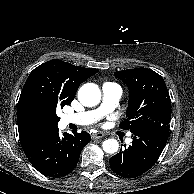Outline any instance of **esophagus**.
<instances>
[{"instance_id":"1","label":"esophagus","mask_w":194,"mask_h":194,"mask_svg":"<svg viewBox=\"0 0 194 194\" xmlns=\"http://www.w3.org/2000/svg\"><path fill=\"white\" fill-rule=\"evenodd\" d=\"M92 139H100L104 137V133L102 132H96L94 134L91 135Z\"/></svg>"}]
</instances>
